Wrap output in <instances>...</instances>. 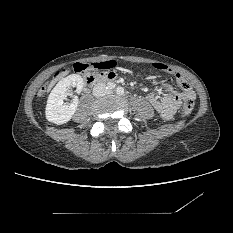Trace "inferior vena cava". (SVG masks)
Returning <instances> with one entry per match:
<instances>
[{"label":"inferior vena cava","mask_w":233,"mask_h":233,"mask_svg":"<svg viewBox=\"0 0 233 233\" xmlns=\"http://www.w3.org/2000/svg\"><path fill=\"white\" fill-rule=\"evenodd\" d=\"M108 93V89L104 83H98L93 88V95L95 97H101Z\"/></svg>","instance_id":"1"}]
</instances>
